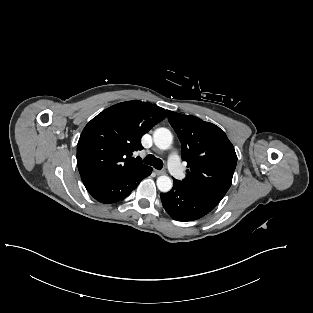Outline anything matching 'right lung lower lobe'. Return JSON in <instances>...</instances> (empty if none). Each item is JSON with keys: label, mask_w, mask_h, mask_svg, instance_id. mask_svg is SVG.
<instances>
[{"label": "right lung lower lobe", "mask_w": 313, "mask_h": 313, "mask_svg": "<svg viewBox=\"0 0 313 313\" xmlns=\"http://www.w3.org/2000/svg\"><path fill=\"white\" fill-rule=\"evenodd\" d=\"M152 168H146L122 178L85 185L87 191L99 202L111 204L126 198L140 181L149 176Z\"/></svg>", "instance_id": "right-lung-lower-lobe-1"}]
</instances>
